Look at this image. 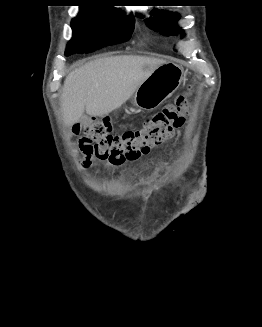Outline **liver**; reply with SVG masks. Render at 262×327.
Masks as SVG:
<instances>
[{
    "label": "liver",
    "mask_w": 262,
    "mask_h": 327,
    "mask_svg": "<svg viewBox=\"0 0 262 327\" xmlns=\"http://www.w3.org/2000/svg\"><path fill=\"white\" fill-rule=\"evenodd\" d=\"M166 61L154 57L120 55L90 61L65 79L60 97L64 122L71 126L86 113L104 116L121 107Z\"/></svg>",
    "instance_id": "1"
}]
</instances>
